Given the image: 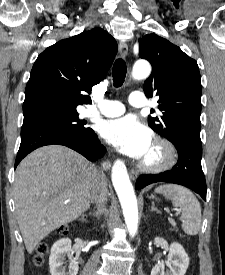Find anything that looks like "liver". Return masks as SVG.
I'll list each match as a JSON object with an SVG mask.
<instances>
[{
  "label": "liver",
  "instance_id": "liver-1",
  "mask_svg": "<svg viewBox=\"0 0 225 275\" xmlns=\"http://www.w3.org/2000/svg\"><path fill=\"white\" fill-rule=\"evenodd\" d=\"M97 171L86 158L61 145L38 148L20 162L14 201L28 253L49 233L90 207Z\"/></svg>",
  "mask_w": 225,
  "mask_h": 275
}]
</instances>
